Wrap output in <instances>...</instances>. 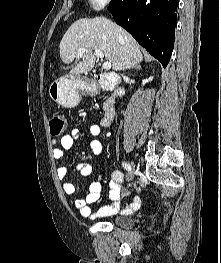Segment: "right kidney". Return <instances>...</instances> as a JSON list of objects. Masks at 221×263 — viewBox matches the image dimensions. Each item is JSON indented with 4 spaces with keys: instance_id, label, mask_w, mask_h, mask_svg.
Returning <instances> with one entry per match:
<instances>
[{
    "instance_id": "ca27d5eb",
    "label": "right kidney",
    "mask_w": 221,
    "mask_h": 263,
    "mask_svg": "<svg viewBox=\"0 0 221 263\" xmlns=\"http://www.w3.org/2000/svg\"><path fill=\"white\" fill-rule=\"evenodd\" d=\"M152 80H153V77H149L148 79H144V80L142 81V84L145 85L146 83H148V82H150V81H152Z\"/></svg>"
}]
</instances>
